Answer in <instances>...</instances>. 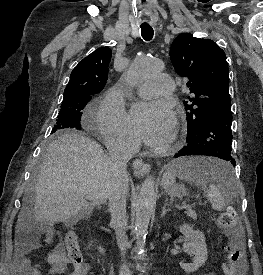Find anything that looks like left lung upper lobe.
Listing matches in <instances>:
<instances>
[{"instance_id": "5c2ea615", "label": "left lung upper lobe", "mask_w": 263, "mask_h": 275, "mask_svg": "<svg viewBox=\"0 0 263 275\" xmlns=\"http://www.w3.org/2000/svg\"><path fill=\"white\" fill-rule=\"evenodd\" d=\"M172 64L194 98L184 101L187 133L200 130L206 120L219 111L231 110L229 70L225 52L212 40L178 35L170 49Z\"/></svg>"}]
</instances>
